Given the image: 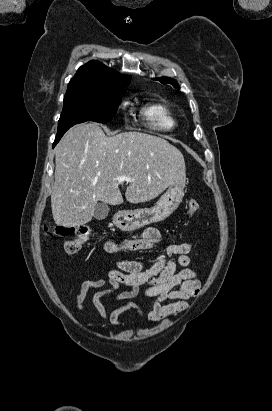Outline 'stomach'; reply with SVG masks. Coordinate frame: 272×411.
<instances>
[{"label":"stomach","instance_id":"0dacf381","mask_svg":"<svg viewBox=\"0 0 272 411\" xmlns=\"http://www.w3.org/2000/svg\"><path fill=\"white\" fill-rule=\"evenodd\" d=\"M185 183L174 182L151 208L124 210L113 216V223L122 231H133L168 218L182 202Z\"/></svg>","mask_w":272,"mask_h":411}]
</instances>
